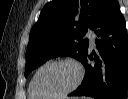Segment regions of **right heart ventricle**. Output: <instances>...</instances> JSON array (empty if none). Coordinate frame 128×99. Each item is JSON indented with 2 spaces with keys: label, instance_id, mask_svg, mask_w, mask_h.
I'll return each mask as SVG.
<instances>
[{
  "label": "right heart ventricle",
  "instance_id": "e07e8e85",
  "mask_svg": "<svg viewBox=\"0 0 128 99\" xmlns=\"http://www.w3.org/2000/svg\"><path fill=\"white\" fill-rule=\"evenodd\" d=\"M29 97L30 98H35L34 96L31 95L30 90H29Z\"/></svg>",
  "mask_w": 128,
  "mask_h": 99
}]
</instances>
